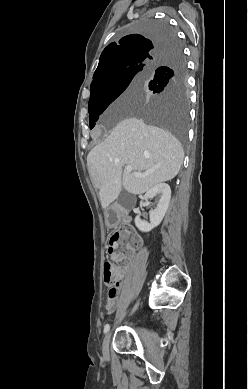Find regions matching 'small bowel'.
<instances>
[{
    "instance_id": "1",
    "label": "small bowel",
    "mask_w": 248,
    "mask_h": 389,
    "mask_svg": "<svg viewBox=\"0 0 248 389\" xmlns=\"http://www.w3.org/2000/svg\"><path fill=\"white\" fill-rule=\"evenodd\" d=\"M117 306V298L115 297L114 299L108 298L107 304H106V311L108 314L112 313Z\"/></svg>"
}]
</instances>
